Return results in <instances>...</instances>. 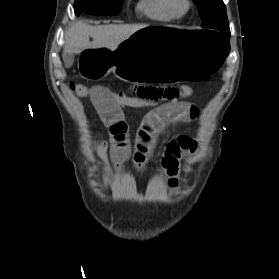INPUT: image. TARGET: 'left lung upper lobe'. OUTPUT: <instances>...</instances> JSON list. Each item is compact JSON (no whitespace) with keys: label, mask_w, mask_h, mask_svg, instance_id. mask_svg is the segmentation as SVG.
I'll list each match as a JSON object with an SVG mask.
<instances>
[{"label":"left lung upper lobe","mask_w":279,"mask_h":279,"mask_svg":"<svg viewBox=\"0 0 279 279\" xmlns=\"http://www.w3.org/2000/svg\"><path fill=\"white\" fill-rule=\"evenodd\" d=\"M199 8L202 27L230 34L223 0H193Z\"/></svg>","instance_id":"1"}]
</instances>
